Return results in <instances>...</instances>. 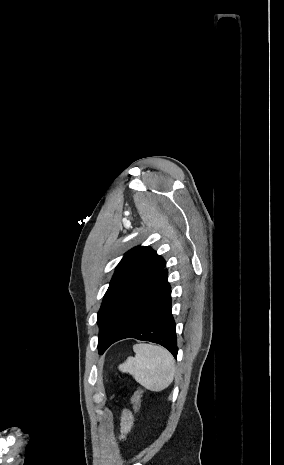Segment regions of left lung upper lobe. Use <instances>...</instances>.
Wrapping results in <instances>:
<instances>
[{
	"label": "left lung upper lobe",
	"instance_id": "left-lung-upper-lobe-1",
	"mask_svg": "<svg viewBox=\"0 0 284 465\" xmlns=\"http://www.w3.org/2000/svg\"><path fill=\"white\" fill-rule=\"evenodd\" d=\"M165 264V260L150 247L138 246L124 255L116 267L98 312L99 353L120 311L162 272Z\"/></svg>",
	"mask_w": 284,
	"mask_h": 465
}]
</instances>
